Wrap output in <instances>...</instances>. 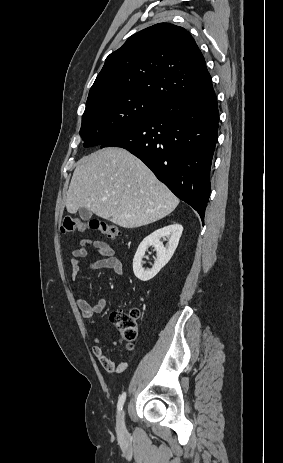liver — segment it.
Segmentation results:
<instances>
[{
    "label": "liver",
    "instance_id": "1",
    "mask_svg": "<svg viewBox=\"0 0 283 463\" xmlns=\"http://www.w3.org/2000/svg\"><path fill=\"white\" fill-rule=\"evenodd\" d=\"M179 199L125 149L109 147L82 157L74 170L66 209L86 208L124 228H137L169 215Z\"/></svg>",
    "mask_w": 283,
    "mask_h": 463
}]
</instances>
